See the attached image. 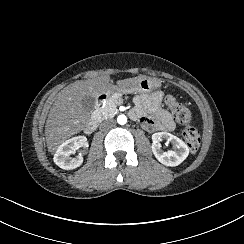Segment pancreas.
Wrapping results in <instances>:
<instances>
[{
  "label": "pancreas",
  "instance_id": "1",
  "mask_svg": "<svg viewBox=\"0 0 244 244\" xmlns=\"http://www.w3.org/2000/svg\"><path fill=\"white\" fill-rule=\"evenodd\" d=\"M113 107H115V98L110 97L107 99L105 107L102 110L103 111H110V109Z\"/></svg>",
  "mask_w": 244,
  "mask_h": 244
}]
</instances>
